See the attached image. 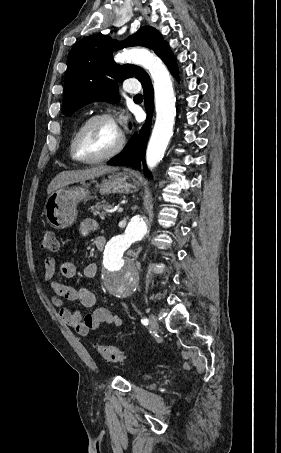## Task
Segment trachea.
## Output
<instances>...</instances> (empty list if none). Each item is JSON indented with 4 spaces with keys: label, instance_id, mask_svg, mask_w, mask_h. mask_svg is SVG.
I'll return each mask as SVG.
<instances>
[{
    "label": "trachea",
    "instance_id": "obj_1",
    "mask_svg": "<svg viewBox=\"0 0 281 453\" xmlns=\"http://www.w3.org/2000/svg\"><path fill=\"white\" fill-rule=\"evenodd\" d=\"M135 97H142L141 93H137V95H135Z\"/></svg>",
    "mask_w": 281,
    "mask_h": 453
}]
</instances>
